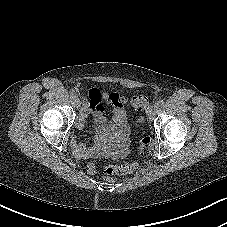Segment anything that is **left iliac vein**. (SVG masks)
<instances>
[{
    "label": "left iliac vein",
    "mask_w": 227,
    "mask_h": 227,
    "mask_svg": "<svg viewBox=\"0 0 227 227\" xmlns=\"http://www.w3.org/2000/svg\"><path fill=\"white\" fill-rule=\"evenodd\" d=\"M157 110H158V105L157 104H153L148 110V118L149 119H153L154 116L157 113Z\"/></svg>",
    "instance_id": "left-iliac-vein-1"
}]
</instances>
